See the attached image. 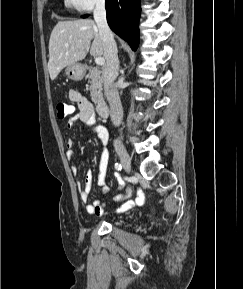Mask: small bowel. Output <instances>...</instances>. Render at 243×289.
I'll list each match as a JSON object with an SVG mask.
<instances>
[{
	"label": "small bowel",
	"instance_id": "c3829d8e",
	"mask_svg": "<svg viewBox=\"0 0 243 289\" xmlns=\"http://www.w3.org/2000/svg\"><path fill=\"white\" fill-rule=\"evenodd\" d=\"M69 99L77 104L78 112L70 118L68 121L67 127L72 129L75 125L80 122L86 125L89 129H91L99 138L101 144L104 146L100 158H99V173H98V181L97 184L100 187L101 195L103 197H107L109 194V188L106 185V174L109 160V153L107 148L105 147L109 140V133L106 127L103 125L96 123V115L94 113L92 104L88 101V99L82 95L79 91L75 89H71L69 91ZM69 145L72 146V142H69ZM69 158L81 157L78 151H71L68 154ZM78 171V167L76 164L72 166V172L76 174ZM93 182V174L90 170L86 172L84 179V187L79 186V194L80 199L83 203H87L91 193V187ZM121 187L119 184L118 188ZM128 195H118V200H126ZM143 204V193L141 191L138 192V196L135 201L128 200L126 201L120 208L117 209V212L127 211L135 206H141ZM86 210L89 214L101 216L104 214V201L102 199H96L92 203L86 206Z\"/></svg>",
	"mask_w": 243,
	"mask_h": 289
}]
</instances>
